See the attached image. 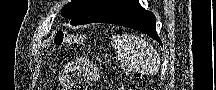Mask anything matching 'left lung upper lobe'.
Wrapping results in <instances>:
<instances>
[{"label":"left lung upper lobe","mask_w":216,"mask_h":90,"mask_svg":"<svg viewBox=\"0 0 216 90\" xmlns=\"http://www.w3.org/2000/svg\"><path fill=\"white\" fill-rule=\"evenodd\" d=\"M130 0H72L62 9L65 18L72 19L71 25L92 23Z\"/></svg>","instance_id":"left-lung-upper-lobe-1"}]
</instances>
